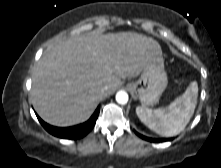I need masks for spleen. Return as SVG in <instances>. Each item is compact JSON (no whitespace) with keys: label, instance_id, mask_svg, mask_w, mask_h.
Returning a JSON list of instances; mask_svg holds the SVG:
<instances>
[{"label":"spleen","instance_id":"obj_1","mask_svg":"<svg viewBox=\"0 0 221 168\" xmlns=\"http://www.w3.org/2000/svg\"><path fill=\"white\" fill-rule=\"evenodd\" d=\"M198 85L190 83L186 91L164 109L137 107L136 114L149 129L165 137H172L184 130L194 114Z\"/></svg>","mask_w":221,"mask_h":168}]
</instances>
